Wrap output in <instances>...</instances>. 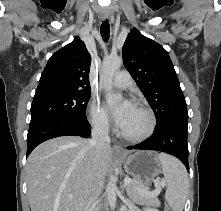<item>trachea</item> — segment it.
<instances>
[{
  "instance_id": "3493384b",
  "label": "trachea",
  "mask_w": 221,
  "mask_h": 211,
  "mask_svg": "<svg viewBox=\"0 0 221 211\" xmlns=\"http://www.w3.org/2000/svg\"><path fill=\"white\" fill-rule=\"evenodd\" d=\"M100 32H101L102 39L105 42H107L109 40V37H110V25H109L108 20H105V21L102 22Z\"/></svg>"
}]
</instances>
